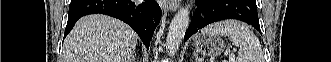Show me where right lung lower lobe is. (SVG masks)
Segmentation results:
<instances>
[{
  "label": "right lung lower lobe",
  "mask_w": 331,
  "mask_h": 62,
  "mask_svg": "<svg viewBox=\"0 0 331 62\" xmlns=\"http://www.w3.org/2000/svg\"><path fill=\"white\" fill-rule=\"evenodd\" d=\"M94 13L109 15L127 23L147 48L161 18V9L154 0H144L142 3L132 0H71L64 37L79 18Z\"/></svg>",
  "instance_id": "obj_1"
}]
</instances>
